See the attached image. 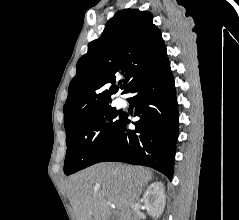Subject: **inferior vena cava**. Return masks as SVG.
<instances>
[{
  "instance_id": "602c4592",
  "label": "inferior vena cava",
  "mask_w": 239,
  "mask_h": 220,
  "mask_svg": "<svg viewBox=\"0 0 239 220\" xmlns=\"http://www.w3.org/2000/svg\"><path fill=\"white\" fill-rule=\"evenodd\" d=\"M134 207H135L134 203L131 204V209H134ZM127 218H128V219H134L131 215H129Z\"/></svg>"
}]
</instances>
